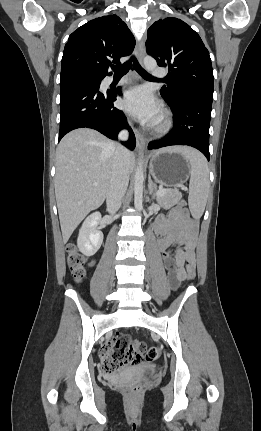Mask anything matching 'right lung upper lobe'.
<instances>
[{
	"label": "right lung upper lobe",
	"mask_w": 261,
	"mask_h": 431,
	"mask_svg": "<svg viewBox=\"0 0 261 431\" xmlns=\"http://www.w3.org/2000/svg\"><path fill=\"white\" fill-rule=\"evenodd\" d=\"M135 39L117 15L95 18L68 38L61 61V73L82 70L97 76L110 75L109 66L131 54Z\"/></svg>",
	"instance_id": "right-lung-upper-lobe-1"
}]
</instances>
